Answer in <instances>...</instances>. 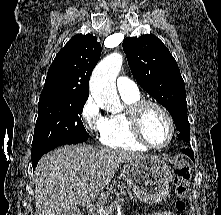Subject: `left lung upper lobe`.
Segmentation results:
<instances>
[{
    "mask_svg": "<svg viewBox=\"0 0 221 215\" xmlns=\"http://www.w3.org/2000/svg\"><path fill=\"white\" fill-rule=\"evenodd\" d=\"M123 50L138 84L171 114L178 137L190 140L185 84L169 50L153 34L126 38Z\"/></svg>",
    "mask_w": 221,
    "mask_h": 215,
    "instance_id": "left-lung-upper-lobe-1",
    "label": "left lung upper lobe"
}]
</instances>
